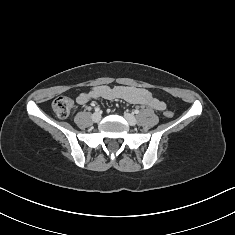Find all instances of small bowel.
<instances>
[{
    "label": "small bowel",
    "mask_w": 235,
    "mask_h": 235,
    "mask_svg": "<svg viewBox=\"0 0 235 235\" xmlns=\"http://www.w3.org/2000/svg\"><path fill=\"white\" fill-rule=\"evenodd\" d=\"M93 98L108 100L123 99L128 103L148 106L157 111L166 109L165 102L155 98L151 91L133 86L110 87L107 85H99L80 93L76 100L79 104L83 105Z\"/></svg>",
    "instance_id": "1"
}]
</instances>
